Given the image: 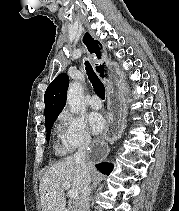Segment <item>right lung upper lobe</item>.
<instances>
[{
  "instance_id": "right-lung-upper-lobe-1",
  "label": "right lung upper lobe",
  "mask_w": 179,
  "mask_h": 211,
  "mask_svg": "<svg viewBox=\"0 0 179 211\" xmlns=\"http://www.w3.org/2000/svg\"><path fill=\"white\" fill-rule=\"evenodd\" d=\"M100 58V51L95 52ZM101 77L107 76V67L105 63L96 67ZM69 85V78L67 74L58 75L53 82L48 86L45 95V118L46 120L56 117L60 114L66 103V91Z\"/></svg>"
}]
</instances>
